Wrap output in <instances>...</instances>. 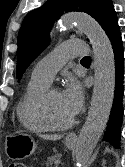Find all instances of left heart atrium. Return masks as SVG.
Instances as JSON below:
<instances>
[{
  "label": "left heart atrium",
  "mask_w": 125,
  "mask_h": 167,
  "mask_svg": "<svg viewBox=\"0 0 125 167\" xmlns=\"http://www.w3.org/2000/svg\"><path fill=\"white\" fill-rule=\"evenodd\" d=\"M62 101L68 111L74 116L83 105L84 95L82 85L73 78H69L60 92Z\"/></svg>",
  "instance_id": "1"
}]
</instances>
